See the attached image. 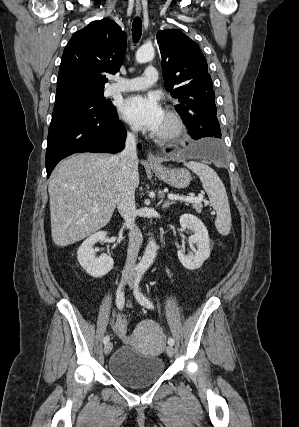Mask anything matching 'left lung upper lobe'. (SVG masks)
I'll return each instance as SVG.
<instances>
[{
    "label": "left lung upper lobe",
    "instance_id": "1",
    "mask_svg": "<svg viewBox=\"0 0 299 427\" xmlns=\"http://www.w3.org/2000/svg\"><path fill=\"white\" fill-rule=\"evenodd\" d=\"M156 38L166 90L179 102L176 111L183 117L191 110L209 109L215 137L221 138L212 79L200 47L177 29L160 30Z\"/></svg>",
    "mask_w": 299,
    "mask_h": 427
}]
</instances>
